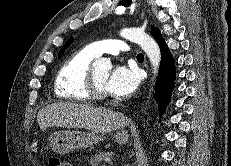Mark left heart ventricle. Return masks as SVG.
I'll return each instance as SVG.
<instances>
[{
    "instance_id": "left-heart-ventricle-1",
    "label": "left heart ventricle",
    "mask_w": 231,
    "mask_h": 166,
    "mask_svg": "<svg viewBox=\"0 0 231 166\" xmlns=\"http://www.w3.org/2000/svg\"><path fill=\"white\" fill-rule=\"evenodd\" d=\"M94 73H95V77H96V80L97 82L99 83V85L104 89H105V82L108 78V72L106 71H102V70H99V69H95L94 70Z\"/></svg>"
}]
</instances>
